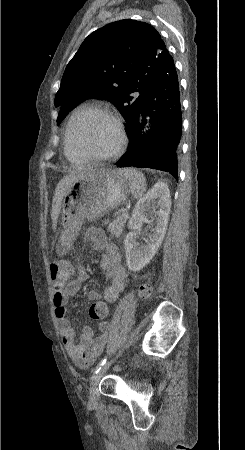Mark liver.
<instances>
[{
	"instance_id": "1",
	"label": "liver",
	"mask_w": 245,
	"mask_h": 450,
	"mask_svg": "<svg viewBox=\"0 0 245 450\" xmlns=\"http://www.w3.org/2000/svg\"><path fill=\"white\" fill-rule=\"evenodd\" d=\"M92 170H86V171H79L75 173H71L61 179V181L57 184V187L55 189V193L53 196V203H52V212H51V218L53 221V229L56 228L57 225V219L61 210V205L63 198L71 186V184L78 178L85 176L89 174Z\"/></svg>"
}]
</instances>
